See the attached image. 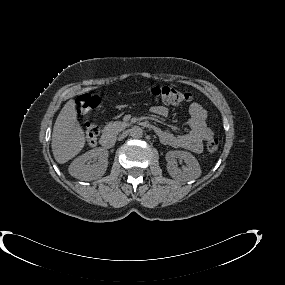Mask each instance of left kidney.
<instances>
[{"label": "left kidney", "instance_id": "1", "mask_svg": "<svg viewBox=\"0 0 285 285\" xmlns=\"http://www.w3.org/2000/svg\"><path fill=\"white\" fill-rule=\"evenodd\" d=\"M167 156L171 159V162L167 164V171L171 177L175 179L190 180L196 179L201 175L200 165L191 153L187 151H170L167 153ZM175 158L184 161L186 164L184 171H181L176 167Z\"/></svg>", "mask_w": 285, "mask_h": 285}]
</instances>
